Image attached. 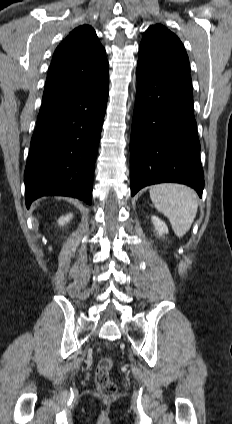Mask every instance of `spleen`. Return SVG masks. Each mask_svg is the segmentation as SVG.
I'll list each match as a JSON object with an SVG mask.
<instances>
[{
	"mask_svg": "<svg viewBox=\"0 0 232 424\" xmlns=\"http://www.w3.org/2000/svg\"><path fill=\"white\" fill-rule=\"evenodd\" d=\"M150 198L170 221L177 237L190 229L198 209L197 195L193 189L176 183H163L150 188Z\"/></svg>",
	"mask_w": 232,
	"mask_h": 424,
	"instance_id": "3e777b00",
	"label": "spleen"
}]
</instances>
